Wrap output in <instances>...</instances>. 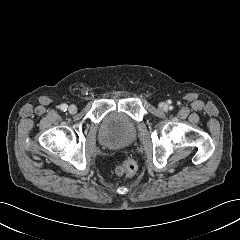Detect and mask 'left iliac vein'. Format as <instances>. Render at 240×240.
<instances>
[{
	"label": "left iliac vein",
	"mask_w": 240,
	"mask_h": 240,
	"mask_svg": "<svg viewBox=\"0 0 240 240\" xmlns=\"http://www.w3.org/2000/svg\"><path fill=\"white\" fill-rule=\"evenodd\" d=\"M159 108H160L161 110H166V109H167V104L164 103V102H161V103L159 104Z\"/></svg>",
	"instance_id": "4c4485c4"
}]
</instances>
